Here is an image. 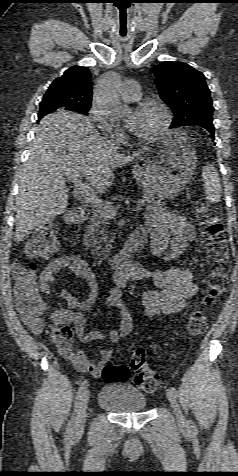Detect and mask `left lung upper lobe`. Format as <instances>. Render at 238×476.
<instances>
[{
	"label": "left lung upper lobe",
	"mask_w": 238,
	"mask_h": 476,
	"mask_svg": "<svg viewBox=\"0 0 238 476\" xmlns=\"http://www.w3.org/2000/svg\"><path fill=\"white\" fill-rule=\"evenodd\" d=\"M161 99L175 117L170 128L213 126V105L205 76L182 62H162L152 68Z\"/></svg>",
	"instance_id": "obj_1"
}]
</instances>
